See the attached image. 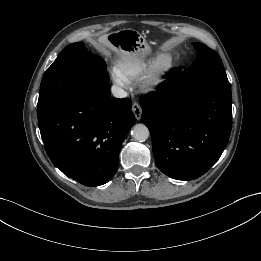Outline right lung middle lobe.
Here are the masks:
<instances>
[{"instance_id":"obj_1","label":"right lung middle lobe","mask_w":261,"mask_h":261,"mask_svg":"<svg viewBox=\"0 0 261 261\" xmlns=\"http://www.w3.org/2000/svg\"><path fill=\"white\" fill-rule=\"evenodd\" d=\"M108 83L105 61L87 51L84 43L71 44L59 54L43 76L37 114L75 88Z\"/></svg>"}]
</instances>
